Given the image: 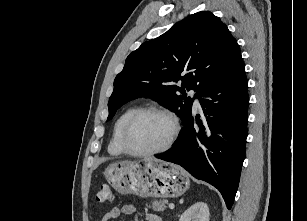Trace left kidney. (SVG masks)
<instances>
[{"label": "left kidney", "mask_w": 307, "mask_h": 221, "mask_svg": "<svg viewBox=\"0 0 307 221\" xmlns=\"http://www.w3.org/2000/svg\"><path fill=\"white\" fill-rule=\"evenodd\" d=\"M209 208L204 202H197L188 208L179 221H209Z\"/></svg>", "instance_id": "left-kidney-1"}]
</instances>
